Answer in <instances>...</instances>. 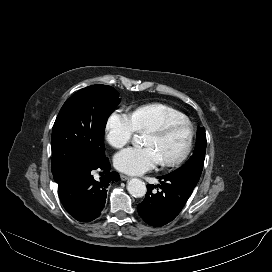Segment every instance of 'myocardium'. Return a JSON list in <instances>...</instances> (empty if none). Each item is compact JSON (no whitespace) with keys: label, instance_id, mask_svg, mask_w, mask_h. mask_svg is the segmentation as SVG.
<instances>
[{"label":"myocardium","instance_id":"obj_1","mask_svg":"<svg viewBox=\"0 0 272 272\" xmlns=\"http://www.w3.org/2000/svg\"><path fill=\"white\" fill-rule=\"evenodd\" d=\"M185 129L187 132V143L183 151L171 160L163 161V166L174 167L184 162L192 151L194 144L195 131L193 126L188 121L168 122L148 132V134L157 135L159 137H166L175 130Z\"/></svg>","mask_w":272,"mask_h":272}]
</instances>
